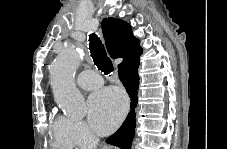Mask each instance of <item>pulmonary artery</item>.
I'll list each match as a JSON object with an SVG mask.
<instances>
[{
  "label": "pulmonary artery",
  "instance_id": "obj_1",
  "mask_svg": "<svg viewBox=\"0 0 227 149\" xmlns=\"http://www.w3.org/2000/svg\"><path fill=\"white\" fill-rule=\"evenodd\" d=\"M77 84L84 90H94L99 88L102 84V78L92 70H85L78 74Z\"/></svg>",
  "mask_w": 227,
  "mask_h": 149
}]
</instances>
